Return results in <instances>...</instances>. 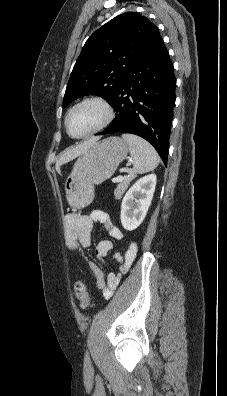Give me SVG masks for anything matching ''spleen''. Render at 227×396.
I'll return each instance as SVG.
<instances>
[{"instance_id": "obj_1", "label": "spleen", "mask_w": 227, "mask_h": 396, "mask_svg": "<svg viewBox=\"0 0 227 396\" xmlns=\"http://www.w3.org/2000/svg\"><path fill=\"white\" fill-rule=\"evenodd\" d=\"M122 138L129 146L135 173H146L158 166L160 162L159 156L156 150L146 140L133 134H123Z\"/></svg>"}]
</instances>
